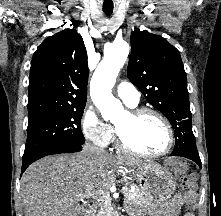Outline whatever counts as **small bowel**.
<instances>
[{"instance_id":"c3829d8e","label":"small bowel","mask_w":221,"mask_h":216,"mask_svg":"<svg viewBox=\"0 0 221 216\" xmlns=\"http://www.w3.org/2000/svg\"><path fill=\"white\" fill-rule=\"evenodd\" d=\"M195 203L196 198L194 195L176 194L170 202L164 205L161 216H177L182 207L186 208L183 216H194L193 208Z\"/></svg>"}]
</instances>
